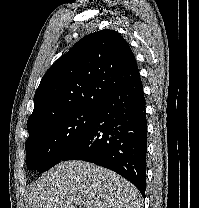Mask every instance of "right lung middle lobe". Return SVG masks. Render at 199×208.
<instances>
[{"label":"right lung middle lobe","mask_w":199,"mask_h":208,"mask_svg":"<svg viewBox=\"0 0 199 208\" xmlns=\"http://www.w3.org/2000/svg\"><path fill=\"white\" fill-rule=\"evenodd\" d=\"M94 116L95 107H83L34 127L25 143L27 166L42 173L62 161L85 135Z\"/></svg>","instance_id":"dd1d6c3e"}]
</instances>
